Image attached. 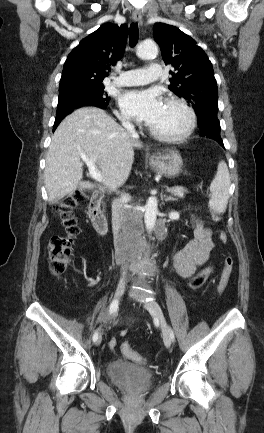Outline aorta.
Here are the masks:
<instances>
[{
  "mask_svg": "<svg viewBox=\"0 0 264 433\" xmlns=\"http://www.w3.org/2000/svg\"><path fill=\"white\" fill-rule=\"evenodd\" d=\"M158 55V47L154 42H143L137 48V56L141 59H152ZM158 202L156 197H150L145 205L144 223L148 232L156 227Z\"/></svg>",
  "mask_w": 264,
  "mask_h": 433,
  "instance_id": "762f6f07",
  "label": "aorta"
}]
</instances>
